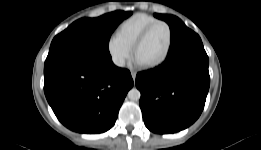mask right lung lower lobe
I'll return each instance as SVG.
<instances>
[{"instance_id":"1","label":"right lung lower lobe","mask_w":261,"mask_h":150,"mask_svg":"<svg viewBox=\"0 0 261 150\" xmlns=\"http://www.w3.org/2000/svg\"><path fill=\"white\" fill-rule=\"evenodd\" d=\"M44 92L59 121L79 133L109 130L118 116L133 79L116 67L111 56L78 51L48 54Z\"/></svg>"}]
</instances>
